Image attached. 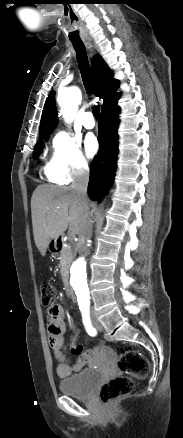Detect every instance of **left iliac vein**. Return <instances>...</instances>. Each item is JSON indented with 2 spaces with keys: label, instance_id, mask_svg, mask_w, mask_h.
<instances>
[{
  "label": "left iliac vein",
  "instance_id": "left-iliac-vein-1",
  "mask_svg": "<svg viewBox=\"0 0 183 438\" xmlns=\"http://www.w3.org/2000/svg\"><path fill=\"white\" fill-rule=\"evenodd\" d=\"M91 317H92L94 327L99 331L102 330V325L97 321V319L93 313H92Z\"/></svg>",
  "mask_w": 183,
  "mask_h": 438
}]
</instances>
